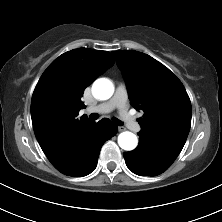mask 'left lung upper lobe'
Listing matches in <instances>:
<instances>
[{
  "label": "left lung upper lobe",
  "mask_w": 222,
  "mask_h": 222,
  "mask_svg": "<svg viewBox=\"0 0 222 222\" xmlns=\"http://www.w3.org/2000/svg\"><path fill=\"white\" fill-rule=\"evenodd\" d=\"M123 73L131 105L144 112L140 139L152 140L177 157L191 125V102L181 81L147 54L112 51Z\"/></svg>",
  "instance_id": "left-lung-upper-lobe-1"
}]
</instances>
